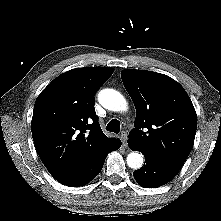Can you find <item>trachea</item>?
<instances>
[{
    "label": "trachea",
    "mask_w": 221,
    "mask_h": 221,
    "mask_svg": "<svg viewBox=\"0 0 221 221\" xmlns=\"http://www.w3.org/2000/svg\"><path fill=\"white\" fill-rule=\"evenodd\" d=\"M107 131L114 132V133H119L120 131V122L117 119H112L107 127Z\"/></svg>",
    "instance_id": "3493384b"
}]
</instances>
